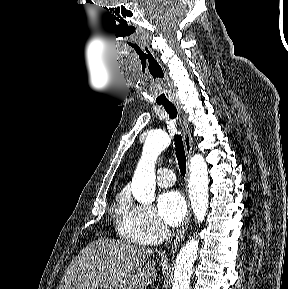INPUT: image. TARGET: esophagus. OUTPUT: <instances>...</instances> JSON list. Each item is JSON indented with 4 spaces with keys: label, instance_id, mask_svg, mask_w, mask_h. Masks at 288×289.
Here are the masks:
<instances>
[{
    "label": "esophagus",
    "instance_id": "34e87169",
    "mask_svg": "<svg viewBox=\"0 0 288 289\" xmlns=\"http://www.w3.org/2000/svg\"><path fill=\"white\" fill-rule=\"evenodd\" d=\"M174 105L176 106L178 113L180 115V126H181V129L183 132V140H184L185 151H186V155H187L186 179H188L190 160H191V157L193 154V139L191 136V131H190L189 126L187 124V121L185 119L181 104L179 102H174ZM187 205H188L187 216H186V219H185L181 229L178 230V232L176 233V235L174 236V238L172 240L171 254L174 253V251L179 246L180 241L183 239V237H184V235L188 229L190 220H191V208H190V203L188 200H187Z\"/></svg>",
    "mask_w": 288,
    "mask_h": 289
}]
</instances>
